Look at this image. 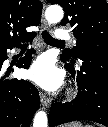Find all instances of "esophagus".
<instances>
[{"instance_id": "esophagus-1", "label": "esophagus", "mask_w": 108, "mask_h": 127, "mask_svg": "<svg viewBox=\"0 0 108 127\" xmlns=\"http://www.w3.org/2000/svg\"><path fill=\"white\" fill-rule=\"evenodd\" d=\"M44 8H45V6H44ZM41 28H42V31L49 29V25L46 22L44 15H42V19H41ZM40 101H41V104L44 108H48L51 104V99L49 97H47L45 95V93H43V92H40Z\"/></svg>"}]
</instances>
